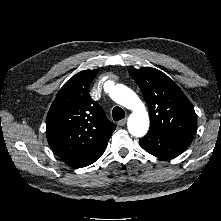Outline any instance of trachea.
Segmentation results:
<instances>
[{
  "label": "trachea",
  "instance_id": "1",
  "mask_svg": "<svg viewBox=\"0 0 221 221\" xmlns=\"http://www.w3.org/2000/svg\"><path fill=\"white\" fill-rule=\"evenodd\" d=\"M112 116L115 121H119L125 117V111L121 107H114L112 110Z\"/></svg>",
  "mask_w": 221,
  "mask_h": 221
}]
</instances>
